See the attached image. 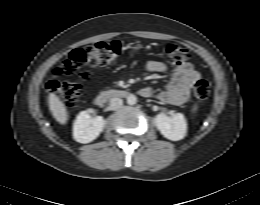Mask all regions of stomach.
Returning <instances> with one entry per match:
<instances>
[{
    "instance_id": "stomach-1",
    "label": "stomach",
    "mask_w": 260,
    "mask_h": 205,
    "mask_svg": "<svg viewBox=\"0 0 260 205\" xmlns=\"http://www.w3.org/2000/svg\"><path fill=\"white\" fill-rule=\"evenodd\" d=\"M140 48H141V45H139V44H136V45H134V46L131 47V49H132L134 52H137Z\"/></svg>"
}]
</instances>
